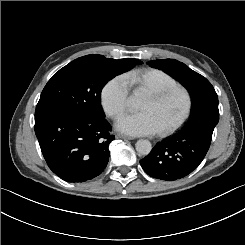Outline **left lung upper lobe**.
<instances>
[{"mask_svg": "<svg viewBox=\"0 0 245 245\" xmlns=\"http://www.w3.org/2000/svg\"><path fill=\"white\" fill-rule=\"evenodd\" d=\"M147 64L151 67L163 70L184 85L190 92L193 101L197 96L202 95L203 91L208 87L212 86L202 75L175 59L154 60L149 61Z\"/></svg>", "mask_w": 245, "mask_h": 245, "instance_id": "5c2ea615", "label": "left lung upper lobe"}]
</instances>
